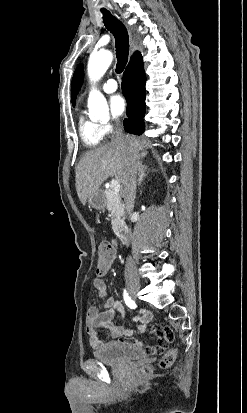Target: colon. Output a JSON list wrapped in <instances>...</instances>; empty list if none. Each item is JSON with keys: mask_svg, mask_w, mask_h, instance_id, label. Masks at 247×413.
<instances>
[{"mask_svg": "<svg viewBox=\"0 0 247 413\" xmlns=\"http://www.w3.org/2000/svg\"><path fill=\"white\" fill-rule=\"evenodd\" d=\"M116 258V247L109 243H102L96 245V266L100 268V273L106 275L109 273V260ZM175 349L179 348L178 344L174 345ZM176 358V351L165 353L164 357L160 358V365L162 367H170ZM149 371L148 368L142 370L145 375Z\"/></svg>", "mask_w": 247, "mask_h": 413, "instance_id": "colon-1", "label": "colon"}]
</instances>
